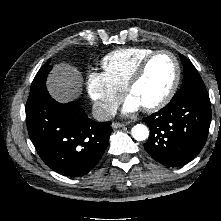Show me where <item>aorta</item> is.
<instances>
[{
	"label": "aorta",
	"instance_id": "762f6f07",
	"mask_svg": "<svg viewBox=\"0 0 221 221\" xmlns=\"http://www.w3.org/2000/svg\"><path fill=\"white\" fill-rule=\"evenodd\" d=\"M131 134L135 140L143 141L148 138L149 129L143 124H137L132 128Z\"/></svg>",
	"mask_w": 221,
	"mask_h": 221
}]
</instances>
